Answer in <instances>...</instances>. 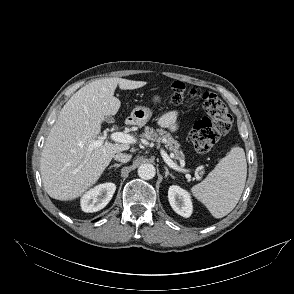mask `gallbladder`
I'll list each match as a JSON object with an SVG mask.
<instances>
[{
    "instance_id": "1",
    "label": "gallbladder",
    "mask_w": 294,
    "mask_h": 294,
    "mask_svg": "<svg viewBox=\"0 0 294 294\" xmlns=\"http://www.w3.org/2000/svg\"><path fill=\"white\" fill-rule=\"evenodd\" d=\"M106 121H107L108 123H111V122H113V119H112L111 117H106Z\"/></svg>"
}]
</instances>
